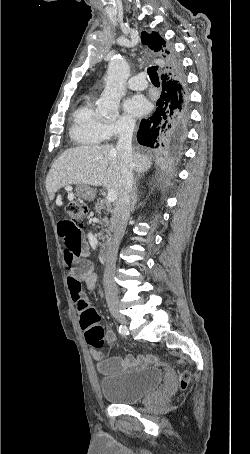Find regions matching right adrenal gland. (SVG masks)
<instances>
[{
    "mask_svg": "<svg viewBox=\"0 0 250 454\" xmlns=\"http://www.w3.org/2000/svg\"><path fill=\"white\" fill-rule=\"evenodd\" d=\"M137 182L135 181L134 187H133V196H132V202H131V211L133 212L135 209V205L138 201V195H137Z\"/></svg>",
    "mask_w": 250,
    "mask_h": 454,
    "instance_id": "obj_1",
    "label": "right adrenal gland"
}]
</instances>
